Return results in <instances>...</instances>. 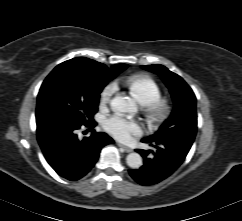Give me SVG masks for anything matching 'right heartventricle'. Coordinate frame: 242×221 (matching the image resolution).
<instances>
[{
  "label": "right heart ventricle",
  "mask_w": 242,
  "mask_h": 221,
  "mask_svg": "<svg viewBox=\"0 0 242 221\" xmlns=\"http://www.w3.org/2000/svg\"><path fill=\"white\" fill-rule=\"evenodd\" d=\"M131 93L145 105H149L161 97V89L157 82L148 76L129 77L125 80Z\"/></svg>",
  "instance_id": "right-heart-ventricle-1"
}]
</instances>
